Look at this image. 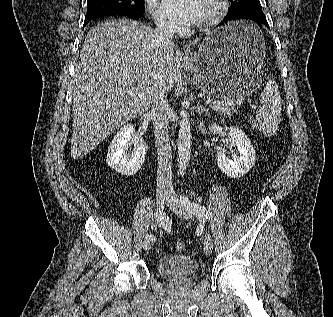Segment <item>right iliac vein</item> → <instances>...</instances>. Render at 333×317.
<instances>
[{"label":"right iliac vein","instance_id":"right-iliac-vein-1","mask_svg":"<svg viewBox=\"0 0 333 317\" xmlns=\"http://www.w3.org/2000/svg\"><path fill=\"white\" fill-rule=\"evenodd\" d=\"M168 197H169V193L165 190H159L157 192V201H158V204H159V209L161 211H163L164 206L167 203ZM152 242L153 241L145 239L143 244H142L143 249L144 250H149L152 246Z\"/></svg>","mask_w":333,"mask_h":317}]
</instances>
